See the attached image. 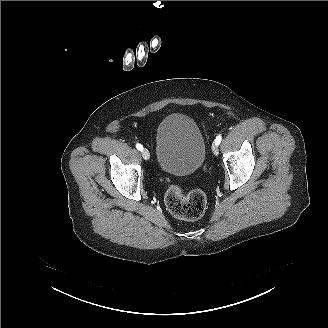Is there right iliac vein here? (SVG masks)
Masks as SVG:
<instances>
[{"label": "right iliac vein", "mask_w": 328, "mask_h": 328, "mask_svg": "<svg viewBox=\"0 0 328 328\" xmlns=\"http://www.w3.org/2000/svg\"><path fill=\"white\" fill-rule=\"evenodd\" d=\"M141 153H142V156L145 160L150 159V152L146 148L142 149Z\"/></svg>", "instance_id": "right-iliac-vein-1"}]
</instances>
